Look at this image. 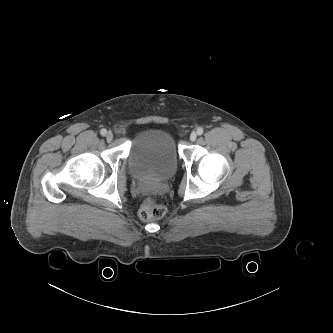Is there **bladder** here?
<instances>
[{
  "label": "bladder",
  "instance_id": "1",
  "mask_svg": "<svg viewBox=\"0 0 333 333\" xmlns=\"http://www.w3.org/2000/svg\"><path fill=\"white\" fill-rule=\"evenodd\" d=\"M128 167L136 178L166 179L178 166V152L173 134L162 127L139 132L130 145Z\"/></svg>",
  "mask_w": 333,
  "mask_h": 333
}]
</instances>
